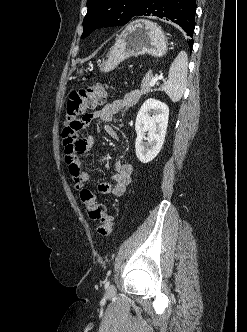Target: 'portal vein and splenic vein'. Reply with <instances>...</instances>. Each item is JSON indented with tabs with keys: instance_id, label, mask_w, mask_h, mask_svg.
Instances as JSON below:
<instances>
[{
	"instance_id": "18ae733b",
	"label": "portal vein and splenic vein",
	"mask_w": 247,
	"mask_h": 332,
	"mask_svg": "<svg viewBox=\"0 0 247 332\" xmlns=\"http://www.w3.org/2000/svg\"><path fill=\"white\" fill-rule=\"evenodd\" d=\"M160 79H162V77H158V76L153 77L150 81V86L153 87L157 83V81Z\"/></svg>"
}]
</instances>
